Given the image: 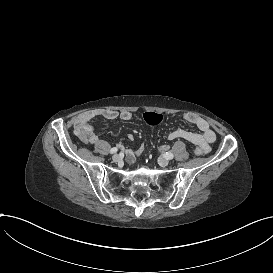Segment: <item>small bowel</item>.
Wrapping results in <instances>:
<instances>
[{
    "mask_svg": "<svg viewBox=\"0 0 273 273\" xmlns=\"http://www.w3.org/2000/svg\"><path fill=\"white\" fill-rule=\"evenodd\" d=\"M97 118H104L107 120H116L127 122L132 119V113L127 110L116 111L112 109L104 111H88L85 115L80 116L73 124L75 131V138L85 144H91V147L100 154H107L109 152V145L104 143L97 132L91 128ZM184 120L194 125L198 132H192L185 129H174L167 135L169 140L183 139L196 146V150L200 154H207L210 152V144L216 139V134L211 128L209 122L201 116L194 113H187L184 115ZM133 135H128L129 140H133ZM138 157L134 150L129 152L126 156L128 163H134Z\"/></svg>",
    "mask_w": 273,
    "mask_h": 273,
    "instance_id": "obj_1",
    "label": "small bowel"
}]
</instances>
